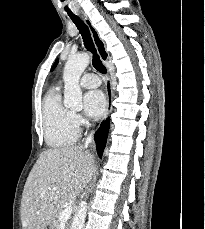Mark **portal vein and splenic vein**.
<instances>
[{
  "label": "portal vein and splenic vein",
  "instance_id": "18ae733b",
  "mask_svg": "<svg viewBox=\"0 0 205 229\" xmlns=\"http://www.w3.org/2000/svg\"><path fill=\"white\" fill-rule=\"evenodd\" d=\"M54 189H56V188H54ZM71 213H72V206L69 205L60 213V215H59L60 222L61 223L66 222L69 219V217L71 216Z\"/></svg>",
  "mask_w": 205,
  "mask_h": 229
}]
</instances>
